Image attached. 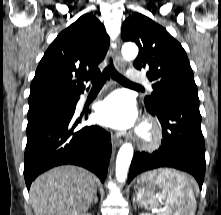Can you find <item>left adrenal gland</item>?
I'll return each instance as SVG.
<instances>
[{"mask_svg":"<svg viewBox=\"0 0 221 215\" xmlns=\"http://www.w3.org/2000/svg\"><path fill=\"white\" fill-rule=\"evenodd\" d=\"M136 202H137V200H136L135 197L133 196V204L135 205Z\"/></svg>","mask_w":221,"mask_h":215,"instance_id":"obj_1","label":"left adrenal gland"}]
</instances>
